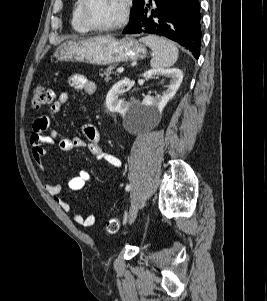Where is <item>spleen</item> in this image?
Listing matches in <instances>:
<instances>
[{"label": "spleen", "instance_id": "3e777b00", "mask_svg": "<svg viewBox=\"0 0 267 301\" xmlns=\"http://www.w3.org/2000/svg\"><path fill=\"white\" fill-rule=\"evenodd\" d=\"M140 41L153 51V57L150 61L152 68H167L176 63L178 49L173 42L157 36L142 37Z\"/></svg>", "mask_w": 267, "mask_h": 301}]
</instances>
